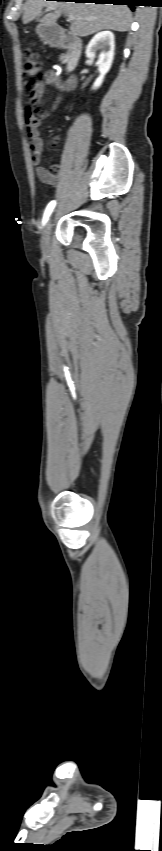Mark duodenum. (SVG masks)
I'll use <instances>...</instances> for the list:
<instances>
[{
    "mask_svg": "<svg viewBox=\"0 0 162 851\" xmlns=\"http://www.w3.org/2000/svg\"><path fill=\"white\" fill-rule=\"evenodd\" d=\"M48 39L52 46L65 48L69 51L68 65L70 69H74L82 53L81 40L63 29H52L49 32Z\"/></svg>",
    "mask_w": 162,
    "mask_h": 851,
    "instance_id": "1",
    "label": "duodenum"
}]
</instances>
